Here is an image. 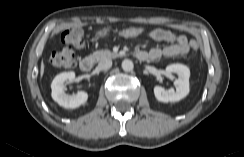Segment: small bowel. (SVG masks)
Listing matches in <instances>:
<instances>
[{
	"instance_id": "1",
	"label": "small bowel",
	"mask_w": 244,
	"mask_h": 157,
	"mask_svg": "<svg viewBox=\"0 0 244 157\" xmlns=\"http://www.w3.org/2000/svg\"><path fill=\"white\" fill-rule=\"evenodd\" d=\"M144 36L156 42L168 43L163 48H152L148 52L140 51L147 54V58L152 60L159 59L162 56L167 58L184 56L190 50V42L186 36L169 30L154 29L147 31Z\"/></svg>"
}]
</instances>
